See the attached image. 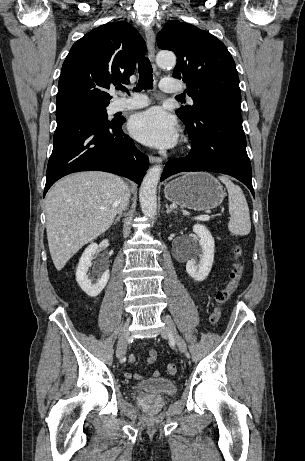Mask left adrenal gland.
Listing matches in <instances>:
<instances>
[{"mask_svg":"<svg viewBox=\"0 0 305 461\" xmlns=\"http://www.w3.org/2000/svg\"><path fill=\"white\" fill-rule=\"evenodd\" d=\"M166 208H167V210H166V213H167V214H170L171 212L177 213V211L172 210V209L168 206V204H166Z\"/></svg>","mask_w":305,"mask_h":461,"instance_id":"a2214340","label":"left adrenal gland"}]
</instances>
